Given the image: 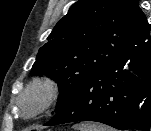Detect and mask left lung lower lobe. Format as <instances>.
I'll list each match as a JSON object with an SVG mask.
<instances>
[{
	"instance_id": "obj_1",
	"label": "left lung lower lobe",
	"mask_w": 151,
	"mask_h": 131,
	"mask_svg": "<svg viewBox=\"0 0 151 131\" xmlns=\"http://www.w3.org/2000/svg\"><path fill=\"white\" fill-rule=\"evenodd\" d=\"M151 25L139 13L129 54L88 77L45 125L96 121L119 130L150 131Z\"/></svg>"
}]
</instances>
